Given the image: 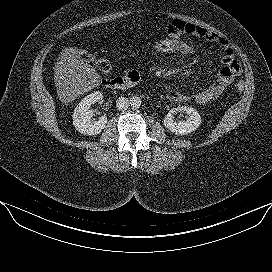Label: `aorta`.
Returning a JSON list of instances; mask_svg holds the SVG:
<instances>
[{
  "mask_svg": "<svg viewBox=\"0 0 272 272\" xmlns=\"http://www.w3.org/2000/svg\"><path fill=\"white\" fill-rule=\"evenodd\" d=\"M130 106L134 109H137L141 106V98L139 96H132L129 100Z\"/></svg>",
  "mask_w": 272,
  "mask_h": 272,
  "instance_id": "obj_1",
  "label": "aorta"
}]
</instances>
